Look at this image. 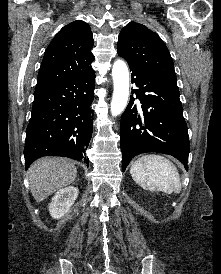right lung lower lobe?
I'll return each mask as SVG.
<instances>
[{
    "instance_id": "1",
    "label": "right lung lower lobe",
    "mask_w": 221,
    "mask_h": 274,
    "mask_svg": "<svg viewBox=\"0 0 221 274\" xmlns=\"http://www.w3.org/2000/svg\"><path fill=\"white\" fill-rule=\"evenodd\" d=\"M94 71L73 76L36 91L26 130V169L43 156H63L84 161L93 129Z\"/></svg>"
}]
</instances>
